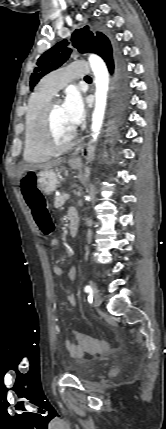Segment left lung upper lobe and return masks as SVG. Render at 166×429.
<instances>
[{
  "instance_id": "1",
  "label": "left lung upper lobe",
  "mask_w": 166,
  "mask_h": 429,
  "mask_svg": "<svg viewBox=\"0 0 166 429\" xmlns=\"http://www.w3.org/2000/svg\"><path fill=\"white\" fill-rule=\"evenodd\" d=\"M71 41L72 45L81 53H95L97 45L106 46L110 44L109 39L104 34L101 32L94 34L89 30L88 26L76 29L72 34ZM68 44L67 40H63L40 56L37 61V67L30 77L31 89L43 76L57 69L68 60L72 52Z\"/></svg>"
}]
</instances>
